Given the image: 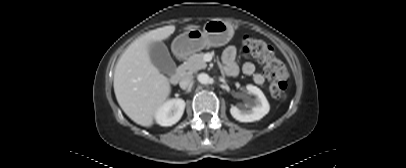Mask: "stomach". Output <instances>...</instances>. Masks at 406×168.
I'll list each match as a JSON object with an SVG mask.
<instances>
[{"instance_id":"0dacf381","label":"stomach","mask_w":406,"mask_h":168,"mask_svg":"<svg viewBox=\"0 0 406 168\" xmlns=\"http://www.w3.org/2000/svg\"><path fill=\"white\" fill-rule=\"evenodd\" d=\"M233 34L232 24L213 19L205 23L202 31L191 29L176 37L172 43V51L178 57H187L206 46H223L231 40Z\"/></svg>"}]
</instances>
